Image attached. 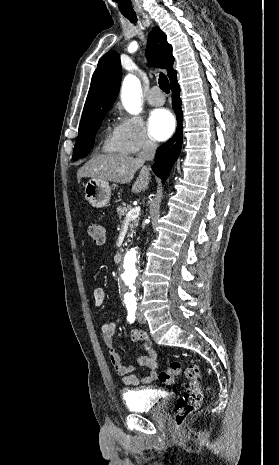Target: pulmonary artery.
<instances>
[{
    "mask_svg": "<svg viewBox=\"0 0 279 465\" xmlns=\"http://www.w3.org/2000/svg\"><path fill=\"white\" fill-rule=\"evenodd\" d=\"M147 100L149 104L153 106H160V105H163L165 102L164 95L161 93L158 87H153L149 91Z\"/></svg>",
    "mask_w": 279,
    "mask_h": 465,
    "instance_id": "1",
    "label": "pulmonary artery"
}]
</instances>
